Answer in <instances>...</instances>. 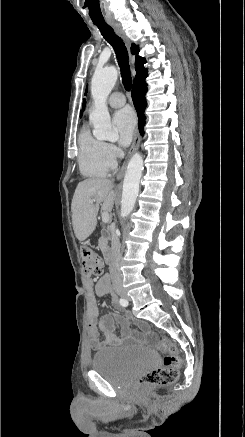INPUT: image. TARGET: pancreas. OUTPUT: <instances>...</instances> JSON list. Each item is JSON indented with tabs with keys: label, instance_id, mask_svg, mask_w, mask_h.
I'll use <instances>...</instances> for the list:
<instances>
[{
	"label": "pancreas",
	"instance_id": "pancreas-1",
	"mask_svg": "<svg viewBox=\"0 0 245 437\" xmlns=\"http://www.w3.org/2000/svg\"><path fill=\"white\" fill-rule=\"evenodd\" d=\"M106 245H107V238L101 237L99 239V247L103 250V249H105Z\"/></svg>",
	"mask_w": 245,
	"mask_h": 437
}]
</instances>
